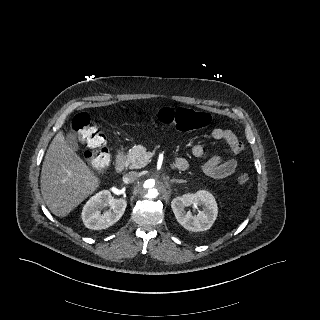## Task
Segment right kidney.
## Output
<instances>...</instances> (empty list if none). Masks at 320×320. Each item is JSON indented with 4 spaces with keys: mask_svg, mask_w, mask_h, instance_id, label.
Masks as SVG:
<instances>
[{
    "mask_svg": "<svg viewBox=\"0 0 320 320\" xmlns=\"http://www.w3.org/2000/svg\"><path fill=\"white\" fill-rule=\"evenodd\" d=\"M110 206L109 211L101 214V209ZM127 202L115 200L110 191L102 190L92 196L84 205L81 218L88 229H106L116 223L124 214Z\"/></svg>",
    "mask_w": 320,
    "mask_h": 320,
    "instance_id": "1",
    "label": "right kidney"
}]
</instances>
